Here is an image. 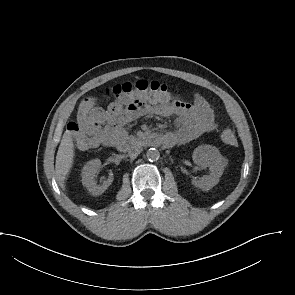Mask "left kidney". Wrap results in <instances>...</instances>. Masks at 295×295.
<instances>
[{
    "label": "left kidney",
    "instance_id": "left-kidney-1",
    "mask_svg": "<svg viewBox=\"0 0 295 295\" xmlns=\"http://www.w3.org/2000/svg\"><path fill=\"white\" fill-rule=\"evenodd\" d=\"M192 158L198 166L210 169L209 175H204L199 180L193 179L192 184L204 191H208L217 185L226 166V160L219 150L211 145H201L194 150Z\"/></svg>",
    "mask_w": 295,
    "mask_h": 295
}]
</instances>
